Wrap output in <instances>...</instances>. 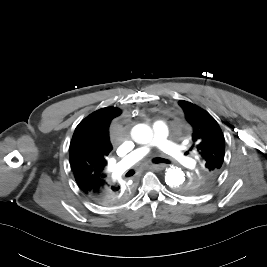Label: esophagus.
Returning a JSON list of instances; mask_svg holds the SVG:
<instances>
[{
	"label": "esophagus",
	"instance_id": "1",
	"mask_svg": "<svg viewBox=\"0 0 267 267\" xmlns=\"http://www.w3.org/2000/svg\"><path fill=\"white\" fill-rule=\"evenodd\" d=\"M150 169H153V170H156V171H160V170H163L165 165L163 164H152L149 166Z\"/></svg>",
	"mask_w": 267,
	"mask_h": 267
}]
</instances>
